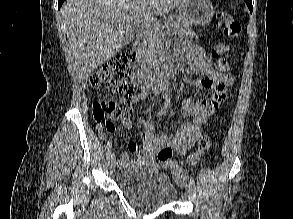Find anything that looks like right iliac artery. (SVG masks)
<instances>
[{
	"mask_svg": "<svg viewBox=\"0 0 293 219\" xmlns=\"http://www.w3.org/2000/svg\"><path fill=\"white\" fill-rule=\"evenodd\" d=\"M163 98H164V106H163V108L157 113V116H162V115H164V114L167 112V110H168V108H169V106H170V97H169V95H168L167 92H165V93L163 94ZM107 156H108V157H114V153L111 152V149H110V148L107 149Z\"/></svg>",
	"mask_w": 293,
	"mask_h": 219,
	"instance_id": "right-iliac-artery-1",
	"label": "right iliac artery"
}]
</instances>
